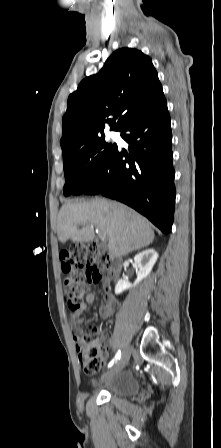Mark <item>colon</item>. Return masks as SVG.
Listing matches in <instances>:
<instances>
[{
  "label": "colon",
  "instance_id": "5ec220e1",
  "mask_svg": "<svg viewBox=\"0 0 221 448\" xmlns=\"http://www.w3.org/2000/svg\"><path fill=\"white\" fill-rule=\"evenodd\" d=\"M61 268L65 274L66 304L71 310L81 307L89 286L102 283L108 276L110 256L95 244H75L60 254ZM78 339L87 349L79 356L85 373L98 372L103 364L102 349L108 336L100 337L98 327L90 324L80 332Z\"/></svg>",
  "mask_w": 221,
  "mask_h": 448
}]
</instances>
